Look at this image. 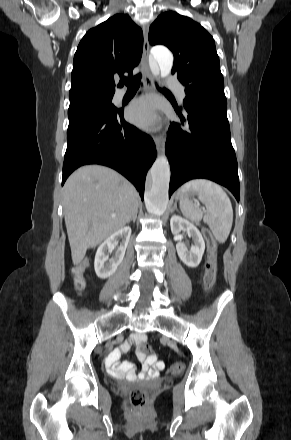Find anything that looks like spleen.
Returning <instances> with one entry per match:
<instances>
[{
    "label": "spleen",
    "mask_w": 291,
    "mask_h": 440,
    "mask_svg": "<svg viewBox=\"0 0 291 440\" xmlns=\"http://www.w3.org/2000/svg\"><path fill=\"white\" fill-rule=\"evenodd\" d=\"M195 191L199 200L206 206V213L191 202L187 193ZM180 209L191 221H203L209 226L219 243H225L232 228L233 209L226 192L217 184L207 179H194L181 188Z\"/></svg>",
    "instance_id": "spleen-1"
}]
</instances>
